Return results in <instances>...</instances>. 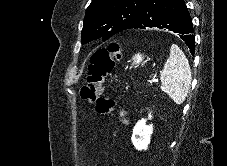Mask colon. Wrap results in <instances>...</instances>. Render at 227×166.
Masks as SVG:
<instances>
[{"instance_id":"1","label":"colon","mask_w":227,"mask_h":166,"mask_svg":"<svg viewBox=\"0 0 227 166\" xmlns=\"http://www.w3.org/2000/svg\"><path fill=\"white\" fill-rule=\"evenodd\" d=\"M119 51L120 45L111 43L107 48H101L92 55L87 80L80 90V96L84 101L96 104L98 114L108 115L113 111H118L125 121L126 113L118 107L116 100L111 96H102L103 84L114 68Z\"/></svg>"}]
</instances>
